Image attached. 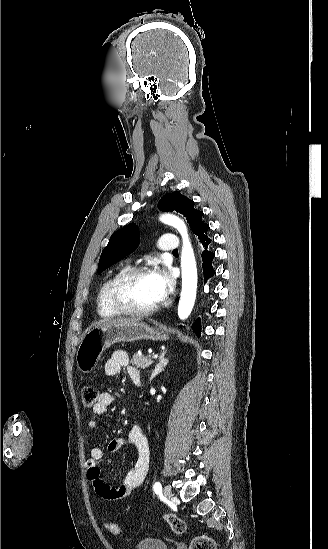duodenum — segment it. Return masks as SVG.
<instances>
[{"label": "duodenum", "instance_id": "410a0bca", "mask_svg": "<svg viewBox=\"0 0 328 549\" xmlns=\"http://www.w3.org/2000/svg\"><path fill=\"white\" fill-rule=\"evenodd\" d=\"M134 382L136 385L140 386L141 385L140 377L139 376L135 377Z\"/></svg>", "mask_w": 328, "mask_h": 549}]
</instances>
